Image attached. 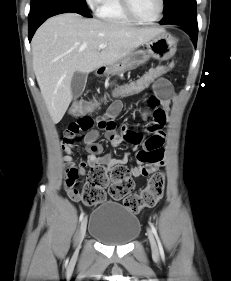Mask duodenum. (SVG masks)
Here are the masks:
<instances>
[{"label": "duodenum", "mask_w": 231, "mask_h": 281, "mask_svg": "<svg viewBox=\"0 0 231 281\" xmlns=\"http://www.w3.org/2000/svg\"><path fill=\"white\" fill-rule=\"evenodd\" d=\"M103 73H104V68H102V67H101V68H98V69L96 70V74L99 75V76L102 75Z\"/></svg>", "instance_id": "duodenum-1"}]
</instances>
